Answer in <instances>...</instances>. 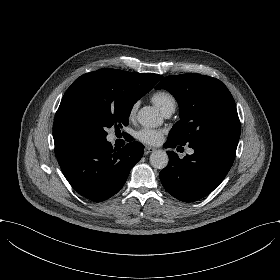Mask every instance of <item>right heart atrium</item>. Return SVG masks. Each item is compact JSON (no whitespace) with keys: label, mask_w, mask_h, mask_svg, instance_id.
<instances>
[{"label":"right heart atrium","mask_w":280,"mask_h":280,"mask_svg":"<svg viewBox=\"0 0 280 280\" xmlns=\"http://www.w3.org/2000/svg\"><path fill=\"white\" fill-rule=\"evenodd\" d=\"M135 111H136L135 105L131 106V108L129 109V113H128L129 118H132L134 116Z\"/></svg>","instance_id":"1"}]
</instances>
